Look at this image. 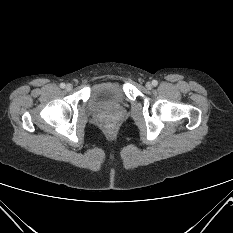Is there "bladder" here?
I'll return each mask as SVG.
<instances>
[{
  "mask_svg": "<svg viewBox=\"0 0 233 233\" xmlns=\"http://www.w3.org/2000/svg\"><path fill=\"white\" fill-rule=\"evenodd\" d=\"M89 105L94 110L122 107L126 103L123 87L116 81H103L92 86Z\"/></svg>",
  "mask_w": 233,
  "mask_h": 233,
  "instance_id": "obj_1",
  "label": "bladder"
}]
</instances>
